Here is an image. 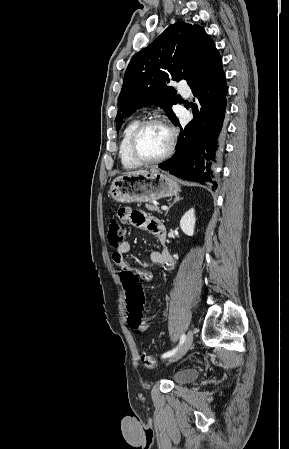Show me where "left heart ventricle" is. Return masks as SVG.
<instances>
[{
  "instance_id": "1",
  "label": "left heart ventricle",
  "mask_w": 289,
  "mask_h": 449,
  "mask_svg": "<svg viewBox=\"0 0 289 449\" xmlns=\"http://www.w3.org/2000/svg\"><path fill=\"white\" fill-rule=\"evenodd\" d=\"M169 144L167 130L158 124L147 126L138 138L137 148L139 154L145 159H154L161 156Z\"/></svg>"
}]
</instances>
